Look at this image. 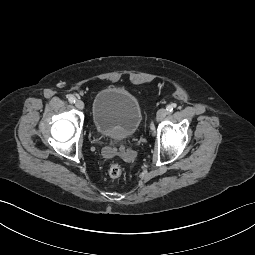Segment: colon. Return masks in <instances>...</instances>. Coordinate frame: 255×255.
<instances>
[{
	"mask_svg": "<svg viewBox=\"0 0 255 255\" xmlns=\"http://www.w3.org/2000/svg\"><path fill=\"white\" fill-rule=\"evenodd\" d=\"M123 173V169L119 164H111L108 169V175L112 179L119 178Z\"/></svg>",
	"mask_w": 255,
	"mask_h": 255,
	"instance_id": "obj_1",
	"label": "colon"
}]
</instances>
